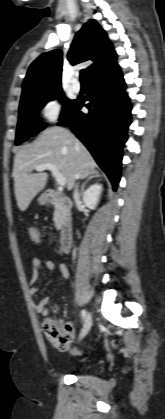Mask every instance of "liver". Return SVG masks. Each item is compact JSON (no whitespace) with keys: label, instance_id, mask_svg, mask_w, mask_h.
<instances>
[{"label":"liver","instance_id":"liver-1","mask_svg":"<svg viewBox=\"0 0 165 419\" xmlns=\"http://www.w3.org/2000/svg\"><path fill=\"white\" fill-rule=\"evenodd\" d=\"M50 163L57 167L71 190L78 178L96 171L97 164L87 148L67 129L50 127L14 157L12 176L18 207L25 211L48 180L44 171L32 173L37 165Z\"/></svg>","mask_w":165,"mask_h":419}]
</instances>
